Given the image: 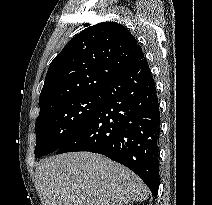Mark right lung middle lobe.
Segmentation results:
<instances>
[{"instance_id":"right-lung-middle-lobe-1","label":"right lung middle lobe","mask_w":212,"mask_h":205,"mask_svg":"<svg viewBox=\"0 0 212 205\" xmlns=\"http://www.w3.org/2000/svg\"><path fill=\"white\" fill-rule=\"evenodd\" d=\"M101 103V92L63 102L38 116L35 123V156L57 151L92 115Z\"/></svg>"}]
</instances>
